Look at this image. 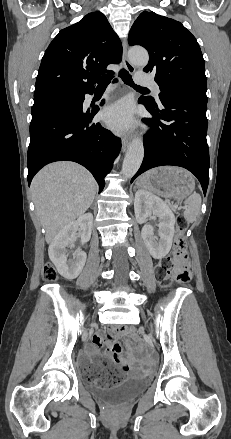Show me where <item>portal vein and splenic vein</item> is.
<instances>
[{
    "label": "portal vein and splenic vein",
    "mask_w": 231,
    "mask_h": 439,
    "mask_svg": "<svg viewBox=\"0 0 231 439\" xmlns=\"http://www.w3.org/2000/svg\"><path fill=\"white\" fill-rule=\"evenodd\" d=\"M174 208H177V205L176 204H174V205H172Z\"/></svg>",
    "instance_id": "obj_1"
}]
</instances>
